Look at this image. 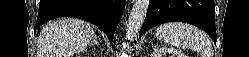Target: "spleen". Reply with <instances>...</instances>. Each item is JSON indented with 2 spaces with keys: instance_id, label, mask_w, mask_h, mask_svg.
<instances>
[{
  "instance_id": "1",
  "label": "spleen",
  "mask_w": 249,
  "mask_h": 57,
  "mask_svg": "<svg viewBox=\"0 0 249 57\" xmlns=\"http://www.w3.org/2000/svg\"><path fill=\"white\" fill-rule=\"evenodd\" d=\"M155 35L170 45L197 51L201 57H212V45L207 35L192 25L181 22L166 23L157 28Z\"/></svg>"
}]
</instances>
